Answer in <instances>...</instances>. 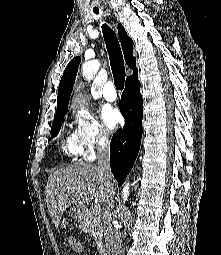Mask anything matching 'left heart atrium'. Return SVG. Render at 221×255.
<instances>
[{"label":"left heart atrium","instance_id":"left-heart-atrium-1","mask_svg":"<svg viewBox=\"0 0 221 255\" xmlns=\"http://www.w3.org/2000/svg\"><path fill=\"white\" fill-rule=\"evenodd\" d=\"M101 119L103 124L108 128V129H114L117 124L121 120V115L119 111L110 106V105H105L103 106L101 110Z\"/></svg>","mask_w":221,"mask_h":255}]
</instances>
